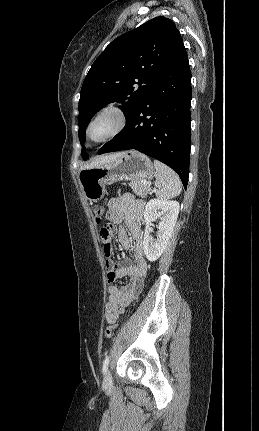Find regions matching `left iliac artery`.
I'll return each mask as SVG.
<instances>
[{
  "label": "left iliac artery",
  "mask_w": 259,
  "mask_h": 431,
  "mask_svg": "<svg viewBox=\"0 0 259 431\" xmlns=\"http://www.w3.org/2000/svg\"><path fill=\"white\" fill-rule=\"evenodd\" d=\"M109 356H106V358L103 361V366H102V372L105 374L108 368V364H109Z\"/></svg>",
  "instance_id": "obj_1"
}]
</instances>
